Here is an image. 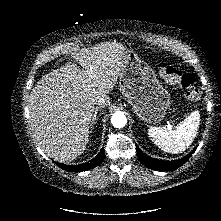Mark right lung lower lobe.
Masks as SVG:
<instances>
[{
	"label": "right lung lower lobe",
	"instance_id": "1",
	"mask_svg": "<svg viewBox=\"0 0 221 221\" xmlns=\"http://www.w3.org/2000/svg\"><path fill=\"white\" fill-rule=\"evenodd\" d=\"M103 159H104V149L102 148L99 154L95 158H93L92 160L84 164H80V165H64L60 163H57V164L60 168L66 171L81 172V171H86L94 167H97L98 165L102 163Z\"/></svg>",
	"mask_w": 221,
	"mask_h": 221
}]
</instances>
